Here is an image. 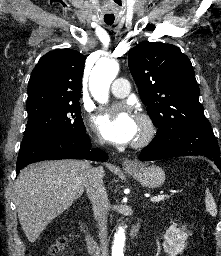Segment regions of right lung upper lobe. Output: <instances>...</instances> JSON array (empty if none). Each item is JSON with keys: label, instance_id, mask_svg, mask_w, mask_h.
<instances>
[{"label": "right lung upper lobe", "instance_id": "right-lung-upper-lobe-1", "mask_svg": "<svg viewBox=\"0 0 221 256\" xmlns=\"http://www.w3.org/2000/svg\"><path fill=\"white\" fill-rule=\"evenodd\" d=\"M85 57L73 49H56L39 59L32 71L26 109L42 104L79 103Z\"/></svg>", "mask_w": 221, "mask_h": 256}]
</instances>
